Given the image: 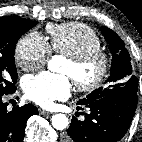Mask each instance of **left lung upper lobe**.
Instances as JSON below:
<instances>
[{
    "label": "left lung upper lobe",
    "instance_id": "obj_1",
    "mask_svg": "<svg viewBox=\"0 0 142 142\" xmlns=\"http://www.w3.org/2000/svg\"><path fill=\"white\" fill-rule=\"evenodd\" d=\"M101 33L109 44L113 55L110 76L105 83L107 85L94 90L79 104H86L97 99L115 95L128 90L138 91V80L133 73L129 52L121 38L108 27L103 26Z\"/></svg>",
    "mask_w": 142,
    "mask_h": 142
}]
</instances>
